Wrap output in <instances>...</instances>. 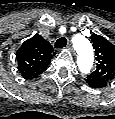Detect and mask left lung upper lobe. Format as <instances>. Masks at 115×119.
<instances>
[{"mask_svg":"<svg viewBox=\"0 0 115 119\" xmlns=\"http://www.w3.org/2000/svg\"><path fill=\"white\" fill-rule=\"evenodd\" d=\"M91 41L95 49L97 66L93 75L111 81L115 78V45L100 35L92 34Z\"/></svg>","mask_w":115,"mask_h":119,"instance_id":"1","label":"left lung upper lobe"}]
</instances>
